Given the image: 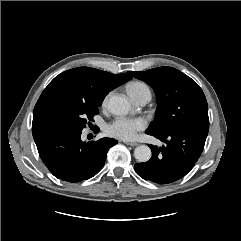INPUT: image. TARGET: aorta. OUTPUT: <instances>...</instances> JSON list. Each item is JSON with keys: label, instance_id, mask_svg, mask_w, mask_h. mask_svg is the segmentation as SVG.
Instances as JSON below:
<instances>
[{"label": "aorta", "instance_id": "762f6f07", "mask_svg": "<svg viewBox=\"0 0 241 241\" xmlns=\"http://www.w3.org/2000/svg\"><path fill=\"white\" fill-rule=\"evenodd\" d=\"M108 107L113 114L119 116L128 114L131 108L129 101L121 96H112ZM134 156L139 162H147L151 158V149L147 145H140L135 148Z\"/></svg>", "mask_w": 241, "mask_h": 241}]
</instances>
